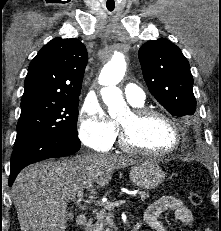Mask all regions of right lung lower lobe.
<instances>
[{
    "instance_id": "obj_1",
    "label": "right lung lower lobe",
    "mask_w": 221,
    "mask_h": 231,
    "mask_svg": "<svg viewBox=\"0 0 221 231\" xmlns=\"http://www.w3.org/2000/svg\"><path fill=\"white\" fill-rule=\"evenodd\" d=\"M80 140L66 136H41L14 147L11 158L9 186L26 166L48 158L64 157L80 149Z\"/></svg>"
}]
</instances>
